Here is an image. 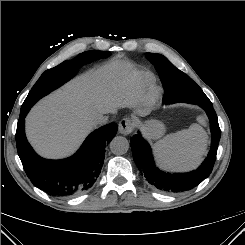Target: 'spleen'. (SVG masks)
I'll list each match as a JSON object with an SVG mask.
<instances>
[{"label":"spleen","instance_id":"spleen-1","mask_svg":"<svg viewBox=\"0 0 245 245\" xmlns=\"http://www.w3.org/2000/svg\"><path fill=\"white\" fill-rule=\"evenodd\" d=\"M203 122L202 118H199ZM207 136L199 124L169 134L154 145L155 154L162 168L185 171L194 168L205 152Z\"/></svg>","mask_w":245,"mask_h":245}]
</instances>
